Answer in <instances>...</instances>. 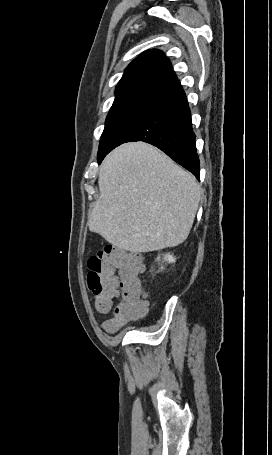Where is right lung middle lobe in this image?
<instances>
[{"label":"right lung middle lobe","instance_id":"obj_1","mask_svg":"<svg viewBox=\"0 0 272 455\" xmlns=\"http://www.w3.org/2000/svg\"><path fill=\"white\" fill-rule=\"evenodd\" d=\"M162 102L149 99H128L114 102L105 122L101 135L98 160L115 144L130 128L153 114Z\"/></svg>","mask_w":272,"mask_h":455}]
</instances>
